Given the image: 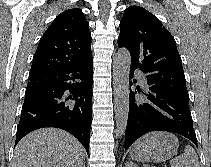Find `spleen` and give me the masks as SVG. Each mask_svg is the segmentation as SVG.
Instances as JSON below:
<instances>
[{
    "instance_id": "obj_1",
    "label": "spleen",
    "mask_w": 211,
    "mask_h": 167,
    "mask_svg": "<svg viewBox=\"0 0 211 167\" xmlns=\"http://www.w3.org/2000/svg\"><path fill=\"white\" fill-rule=\"evenodd\" d=\"M171 167H200L197 153L187 145L184 153L170 161Z\"/></svg>"
}]
</instances>
